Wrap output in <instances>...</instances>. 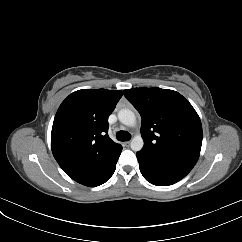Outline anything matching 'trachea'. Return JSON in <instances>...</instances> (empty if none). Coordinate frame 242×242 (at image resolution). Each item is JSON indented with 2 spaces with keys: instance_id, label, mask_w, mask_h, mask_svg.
<instances>
[{
  "instance_id": "3493384b",
  "label": "trachea",
  "mask_w": 242,
  "mask_h": 242,
  "mask_svg": "<svg viewBox=\"0 0 242 242\" xmlns=\"http://www.w3.org/2000/svg\"><path fill=\"white\" fill-rule=\"evenodd\" d=\"M116 138L119 141H129L131 139V134L127 131H118L116 133Z\"/></svg>"
}]
</instances>
